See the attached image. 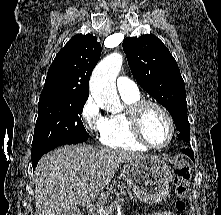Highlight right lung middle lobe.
<instances>
[{
  "instance_id": "obj_1",
  "label": "right lung middle lobe",
  "mask_w": 221,
  "mask_h": 215,
  "mask_svg": "<svg viewBox=\"0 0 221 215\" xmlns=\"http://www.w3.org/2000/svg\"><path fill=\"white\" fill-rule=\"evenodd\" d=\"M86 100L60 98L39 103L31 155L88 137L81 121Z\"/></svg>"
}]
</instances>
